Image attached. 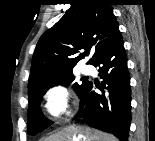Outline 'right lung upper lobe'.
Segmentation results:
<instances>
[{
  "mask_svg": "<svg viewBox=\"0 0 155 141\" xmlns=\"http://www.w3.org/2000/svg\"><path fill=\"white\" fill-rule=\"evenodd\" d=\"M108 0H76L65 15L39 39L28 88L42 80L72 71L90 51L92 64L102 49L120 32ZM85 50L79 56L76 54Z\"/></svg>",
  "mask_w": 155,
  "mask_h": 141,
  "instance_id": "obj_1",
  "label": "right lung upper lobe"
}]
</instances>
